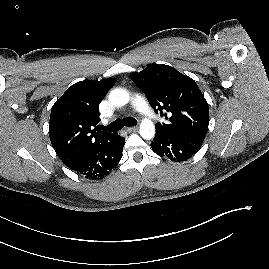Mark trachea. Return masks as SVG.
<instances>
[{
  "mask_svg": "<svg viewBox=\"0 0 269 269\" xmlns=\"http://www.w3.org/2000/svg\"><path fill=\"white\" fill-rule=\"evenodd\" d=\"M136 124H137L136 119H134L132 117H126L123 120L116 119L114 122H112L108 126H99V130H105L108 132H116V131H119L120 129H122L124 127V125L130 127V126H135Z\"/></svg>",
  "mask_w": 269,
  "mask_h": 269,
  "instance_id": "1",
  "label": "trachea"
}]
</instances>
